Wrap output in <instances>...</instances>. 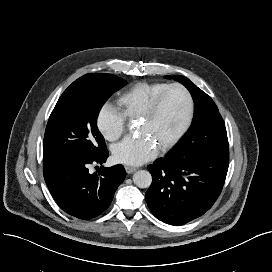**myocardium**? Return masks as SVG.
<instances>
[{"mask_svg":"<svg viewBox=\"0 0 272 272\" xmlns=\"http://www.w3.org/2000/svg\"><path fill=\"white\" fill-rule=\"evenodd\" d=\"M174 89L180 90L185 95L187 102V112L181 127L172 137H170L163 145L160 146L161 151H165L175 145L189 129L195 112V103L191 92L187 87L180 83L170 84L153 98V100L150 102V104L140 117L141 120L151 119L157 113L165 96Z\"/></svg>","mask_w":272,"mask_h":272,"instance_id":"f54148a6","label":"myocardium"}]
</instances>
